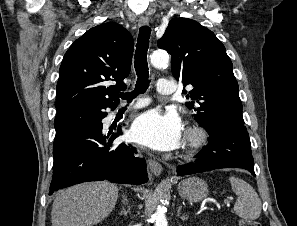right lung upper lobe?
<instances>
[{
    "label": "right lung upper lobe",
    "instance_id": "right-lung-upper-lobe-1",
    "mask_svg": "<svg viewBox=\"0 0 297 226\" xmlns=\"http://www.w3.org/2000/svg\"><path fill=\"white\" fill-rule=\"evenodd\" d=\"M133 38L117 23L88 30L67 50L59 70L56 111L82 104L117 105L119 86L130 73ZM107 81H116L108 86Z\"/></svg>",
    "mask_w": 297,
    "mask_h": 226
}]
</instances>
